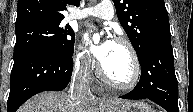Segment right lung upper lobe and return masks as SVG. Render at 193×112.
Here are the masks:
<instances>
[{
    "label": "right lung upper lobe",
    "instance_id": "obj_1",
    "mask_svg": "<svg viewBox=\"0 0 193 112\" xmlns=\"http://www.w3.org/2000/svg\"><path fill=\"white\" fill-rule=\"evenodd\" d=\"M67 4L77 6L80 0H18L16 30L34 24L61 23Z\"/></svg>",
    "mask_w": 193,
    "mask_h": 112
}]
</instances>
